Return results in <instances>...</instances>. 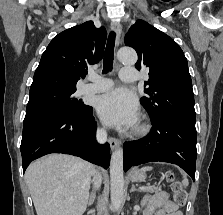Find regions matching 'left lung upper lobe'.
Listing matches in <instances>:
<instances>
[{
  "instance_id": "obj_1",
  "label": "left lung upper lobe",
  "mask_w": 223,
  "mask_h": 215,
  "mask_svg": "<svg viewBox=\"0 0 223 215\" xmlns=\"http://www.w3.org/2000/svg\"><path fill=\"white\" fill-rule=\"evenodd\" d=\"M125 45L138 54L135 67L149 70L148 86L140 102L150 117L173 115L196 119L194 94L187 59L168 35L143 20H137L125 36Z\"/></svg>"
}]
</instances>
